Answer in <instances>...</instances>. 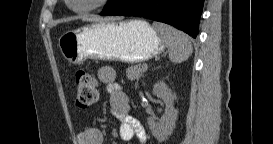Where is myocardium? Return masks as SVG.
<instances>
[{
    "label": "myocardium",
    "instance_id": "obj_1",
    "mask_svg": "<svg viewBox=\"0 0 273 144\" xmlns=\"http://www.w3.org/2000/svg\"><path fill=\"white\" fill-rule=\"evenodd\" d=\"M111 0H94L90 5L81 8H72L77 13H88L106 7ZM71 2V0H68Z\"/></svg>",
    "mask_w": 273,
    "mask_h": 144
}]
</instances>
